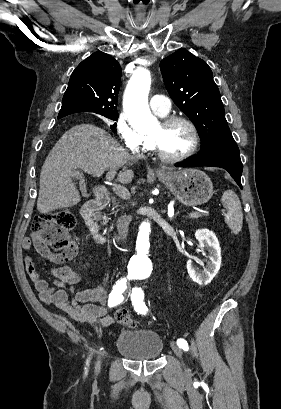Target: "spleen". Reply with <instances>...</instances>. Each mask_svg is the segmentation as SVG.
Returning a JSON list of instances; mask_svg holds the SVG:
<instances>
[{
    "label": "spleen",
    "mask_w": 281,
    "mask_h": 409,
    "mask_svg": "<svg viewBox=\"0 0 281 409\" xmlns=\"http://www.w3.org/2000/svg\"><path fill=\"white\" fill-rule=\"evenodd\" d=\"M222 202L223 207L227 209L225 221L232 233L238 235L243 225V213L239 196H237L232 188H229V190L223 192Z\"/></svg>",
    "instance_id": "3e777b00"
}]
</instances>
